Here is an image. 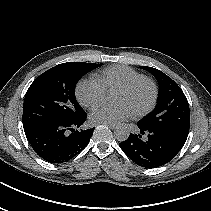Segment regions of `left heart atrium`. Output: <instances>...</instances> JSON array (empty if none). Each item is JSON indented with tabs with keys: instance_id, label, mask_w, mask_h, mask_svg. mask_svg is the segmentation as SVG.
<instances>
[{
	"instance_id": "obj_1",
	"label": "left heart atrium",
	"mask_w": 211,
	"mask_h": 211,
	"mask_svg": "<svg viewBox=\"0 0 211 211\" xmlns=\"http://www.w3.org/2000/svg\"><path fill=\"white\" fill-rule=\"evenodd\" d=\"M133 111L125 104L101 105L95 108L90 114L94 123L116 124L130 118Z\"/></svg>"
}]
</instances>
